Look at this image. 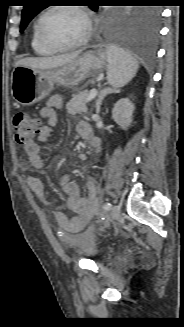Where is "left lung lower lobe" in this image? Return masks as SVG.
<instances>
[{"instance_id":"left-lung-lower-lobe-1","label":"left lung lower lobe","mask_w":184,"mask_h":327,"mask_svg":"<svg viewBox=\"0 0 184 327\" xmlns=\"http://www.w3.org/2000/svg\"><path fill=\"white\" fill-rule=\"evenodd\" d=\"M160 16L157 7L140 9L131 23L112 33L111 43L125 52L152 55L159 34Z\"/></svg>"}]
</instances>
